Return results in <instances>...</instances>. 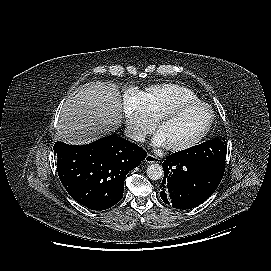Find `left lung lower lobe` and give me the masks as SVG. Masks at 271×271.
<instances>
[{"mask_svg": "<svg viewBox=\"0 0 271 271\" xmlns=\"http://www.w3.org/2000/svg\"><path fill=\"white\" fill-rule=\"evenodd\" d=\"M165 171L161 198L177 209H191L203 203L218 187L223 174L189 157L173 153L163 162Z\"/></svg>", "mask_w": 271, "mask_h": 271, "instance_id": "0a47b994", "label": "left lung lower lobe"}]
</instances>
